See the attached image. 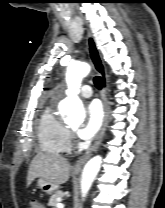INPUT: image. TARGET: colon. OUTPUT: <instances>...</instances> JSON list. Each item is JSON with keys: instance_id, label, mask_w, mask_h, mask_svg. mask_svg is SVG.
<instances>
[{"instance_id": "5ec220e1", "label": "colon", "mask_w": 165, "mask_h": 208, "mask_svg": "<svg viewBox=\"0 0 165 208\" xmlns=\"http://www.w3.org/2000/svg\"><path fill=\"white\" fill-rule=\"evenodd\" d=\"M28 208H44L43 204L37 199H31L28 202Z\"/></svg>"}]
</instances>
